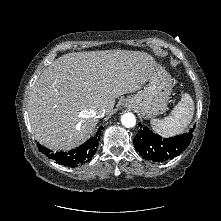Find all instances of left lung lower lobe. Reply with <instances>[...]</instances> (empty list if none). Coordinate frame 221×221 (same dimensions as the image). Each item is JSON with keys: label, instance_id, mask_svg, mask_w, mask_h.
I'll return each mask as SVG.
<instances>
[{"label": "left lung lower lobe", "instance_id": "left-lung-lower-lobe-1", "mask_svg": "<svg viewBox=\"0 0 221 221\" xmlns=\"http://www.w3.org/2000/svg\"><path fill=\"white\" fill-rule=\"evenodd\" d=\"M192 132L193 129L183 135L166 139L140 124V131L136 134L134 146L144 159L154 162L171 160L187 148L192 139Z\"/></svg>", "mask_w": 221, "mask_h": 221}]
</instances>
